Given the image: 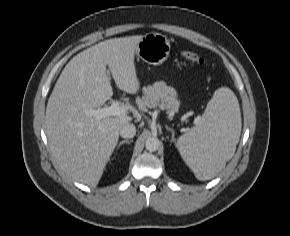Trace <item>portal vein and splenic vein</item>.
<instances>
[{"instance_id":"portal-vein-and-splenic-vein-1","label":"portal vein and splenic vein","mask_w":290,"mask_h":236,"mask_svg":"<svg viewBox=\"0 0 290 236\" xmlns=\"http://www.w3.org/2000/svg\"><path fill=\"white\" fill-rule=\"evenodd\" d=\"M161 108H163L161 106ZM128 111V108L124 105H121L119 102H113L110 106L99 108L97 110H88L87 114L94 116L97 120H101L105 117L110 116H118L126 114Z\"/></svg>"}]
</instances>
